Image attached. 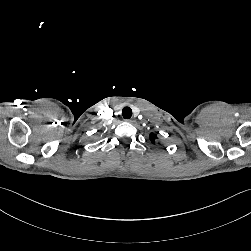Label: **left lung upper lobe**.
<instances>
[{
	"instance_id": "left-lung-upper-lobe-1",
	"label": "left lung upper lobe",
	"mask_w": 251,
	"mask_h": 251,
	"mask_svg": "<svg viewBox=\"0 0 251 251\" xmlns=\"http://www.w3.org/2000/svg\"><path fill=\"white\" fill-rule=\"evenodd\" d=\"M155 135L153 133L150 134V140L152 141V143L155 142Z\"/></svg>"
}]
</instances>
